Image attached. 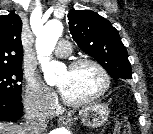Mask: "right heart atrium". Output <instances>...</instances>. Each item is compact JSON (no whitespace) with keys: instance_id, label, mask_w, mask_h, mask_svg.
I'll list each match as a JSON object with an SVG mask.
<instances>
[{"instance_id":"1","label":"right heart atrium","mask_w":153,"mask_h":134,"mask_svg":"<svg viewBox=\"0 0 153 134\" xmlns=\"http://www.w3.org/2000/svg\"><path fill=\"white\" fill-rule=\"evenodd\" d=\"M55 95L35 77L28 76L24 94V105L26 109L39 116H48L56 108Z\"/></svg>"}]
</instances>
